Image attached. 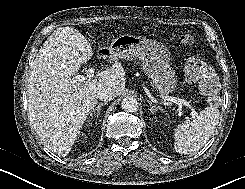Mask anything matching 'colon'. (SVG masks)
<instances>
[{
	"mask_svg": "<svg viewBox=\"0 0 245 189\" xmlns=\"http://www.w3.org/2000/svg\"><path fill=\"white\" fill-rule=\"evenodd\" d=\"M181 41L187 45H194L191 36H183ZM185 77L189 82H199L204 93L205 103L215 105L218 102L220 82L214 70L205 61L197 57L188 58L185 63Z\"/></svg>",
	"mask_w": 245,
	"mask_h": 189,
	"instance_id": "5ec220e1",
	"label": "colon"
}]
</instances>
